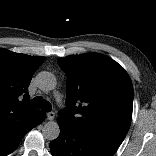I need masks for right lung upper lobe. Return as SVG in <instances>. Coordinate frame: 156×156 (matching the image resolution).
<instances>
[{"instance_id":"right-lung-upper-lobe-1","label":"right lung upper lobe","mask_w":156,"mask_h":156,"mask_svg":"<svg viewBox=\"0 0 156 156\" xmlns=\"http://www.w3.org/2000/svg\"><path fill=\"white\" fill-rule=\"evenodd\" d=\"M44 60L0 48V130L27 124L40 112L28 105V86Z\"/></svg>"}]
</instances>
